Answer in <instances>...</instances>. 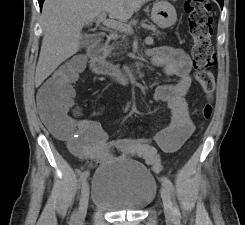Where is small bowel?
<instances>
[{"mask_svg": "<svg viewBox=\"0 0 245 225\" xmlns=\"http://www.w3.org/2000/svg\"><path fill=\"white\" fill-rule=\"evenodd\" d=\"M147 54L153 66L163 67L166 76L177 78L173 84L159 85L154 94L155 100L166 103L170 109L168 125L150 138L109 140L108 133L97 120L70 122L74 128L84 130V134L76 137V145L71 149L78 158L93 160L103 165L118 157L143 159L158 173L161 166L154 145L165 153H174L192 135L194 124L189 117L187 106V96L193 83L191 58L185 50L171 46L155 47L148 50ZM82 64L81 61L80 68ZM73 96L72 87L67 97L59 101L39 89L37 102L44 121L47 124L62 121L64 114L73 105ZM113 148L118 149L120 154H112Z\"/></svg>", "mask_w": 245, "mask_h": 225, "instance_id": "c3829d8e", "label": "small bowel"}]
</instances>
